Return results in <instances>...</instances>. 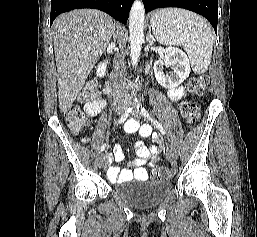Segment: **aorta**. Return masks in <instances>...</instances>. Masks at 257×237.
<instances>
[{
    "mask_svg": "<svg viewBox=\"0 0 257 237\" xmlns=\"http://www.w3.org/2000/svg\"><path fill=\"white\" fill-rule=\"evenodd\" d=\"M145 10L142 0H135L129 14V42L130 57L133 65H136L144 41Z\"/></svg>",
    "mask_w": 257,
    "mask_h": 237,
    "instance_id": "762f6f07",
    "label": "aorta"
}]
</instances>
